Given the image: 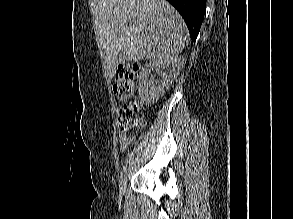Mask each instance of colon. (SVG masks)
Here are the masks:
<instances>
[{"mask_svg": "<svg viewBox=\"0 0 293 219\" xmlns=\"http://www.w3.org/2000/svg\"><path fill=\"white\" fill-rule=\"evenodd\" d=\"M139 78V66L136 63L122 65L118 68L113 91L121 100H128L120 109L119 124L127 132L138 131L143 126V120L138 117L141 105L137 100H130L134 94Z\"/></svg>", "mask_w": 293, "mask_h": 219, "instance_id": "1", "label": "colon"}]
</instances>
